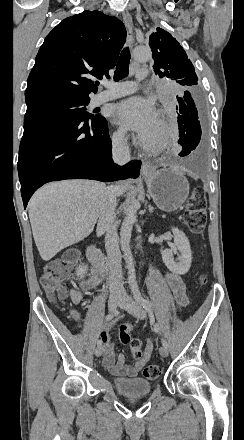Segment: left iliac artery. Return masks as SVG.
<instances>
[{"label":"left iliac artery","mask_w":244,"mask_h":440,"mask_svg":"<svg viewBox=\"0 0 244 440\" xmlns=\"http://www.w3.org/2000/svg\"><path fill=\"white\" fill-rule=\"evenodd\" d=\"M132 292H133V297H134V299L137 301V303H138L140 306H142V307L145 308L146 310H149V309L152 308V303H151V301L148 300V299H145V298L141 295V293H140L139 288H138L137 285L133 286V288H132ZM154 330H155L156 333H160V327H159V325H158L157 323H156L155 326H154ZM161 342H162V345H163L164 347L168 348V343H167V341H166L164 338L161 339Z\"/></svg>","instance_id":"44dca946"}]
</instances>
